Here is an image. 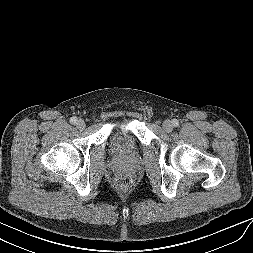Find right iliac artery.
I'll return each mask as SVG.
<instances>
[{
  "label": "right iliac artery",
  "mask_w": 253,
  "mask_h": 253,
  "mask_svg": "<svg viewBox=\"0 0 253 253\" xmlns=\"http://www.w3.org/2000/svg\"><path fill=\"white\" fill-rule=\"evenodd\" d=\"M77 122V118L76 117H71L70 118V123L71 124H75Z\"/></svg>",
  "instance_id": "obj_1"
}]
</instances>
